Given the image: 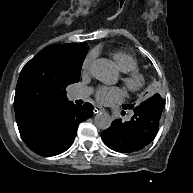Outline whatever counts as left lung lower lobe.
I'll use <instances>...</instances> for the list:
<instances>
[{
  "mask_svg": "<svg viewBox=\"0 0 193 193\" xmlns=\"http://www.w3.org/2000/svg\"><path fill=\"white\" fill-rule=\"evenodd\" d=\"M163 103L155 96L134 109L129 122L113 121L102 132L103 142L117 152L131 153L143 149L156 136Z\"/></svg>",
  "mask_w": 193,
  "mask_h": 193,
  "instance_id": "obj_1",
  "label": "left lung lower lobe"
}]
</instances>
